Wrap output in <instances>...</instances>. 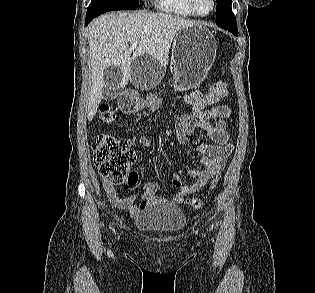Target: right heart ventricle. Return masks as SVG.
<instances>
[{"mask_svg":"<svg viewBox=\"0 0 315 293\" xmlns=\"http://www.w3.org/2000/svg\"><path fill=\"white\" fill-rule=\"evenodd\" d=\"M156 5L159 10L169 14L184 18L196 17L188 0H156Z\"/></svg>","mask_w":315,"mask_h":293,"instance_id":"obj_1","label":"right heart ventricle"}]
</instances>
